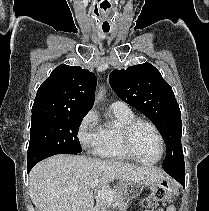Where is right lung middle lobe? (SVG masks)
Returning <instances> with one entry per match:
<instances>
[{
  "label": "right lung middle lobe",
  "mask_w": 209,
  "mask_h": 211,
  "mask_svg": "<svg viewBox=\"0 0 209 211\" xmlns=\"http://www.w3.org/2000/svg\"><path fill=\"white\" fill-rule=\"evenodd\" d=\"M85 115L32 116L27 165L56 154L81 153L77 134Z\"/></svg>",
  "instance_id": "1"
}]
</instances>
